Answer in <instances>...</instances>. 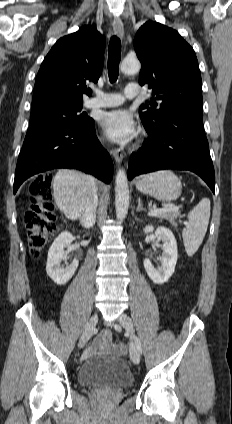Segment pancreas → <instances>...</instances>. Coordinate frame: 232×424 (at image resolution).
<instances>
[{"mask_svg":"<svg viewBox=\"0 0 232 424\" xmlns=\"http://www.w3.org/2000/svg\"><path fill=\"white\" fill-rule=\"evenodd\" d=\"M158 218H160V219H166V220H168L173 226H177V223H176V219H177V217H178V214L177 213H175V212H165V213H162V214H160V215H158L157 216Z\"/></svg>","mask_w":232,"mask_h":424,"instance_id":"cf45deb5","label":"pancreas"}]
</instances>
